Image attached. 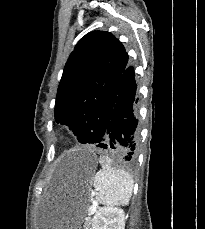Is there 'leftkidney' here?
Listing matches in <instances>:
<instances>
[{
	"label": "left kidney",
	"instance_id": "1",
	"mask_svg": "<svg viewBox=\"0 0 205 229\" xmlns=\"http://www.w3.org/2000/svg\"><path fill=\"white\" fill-rule=\"evenodd\" d=\"M91 229H125L124 211L114 206L98 208Z\"/></svg>",
	"mask_w": 205,
	"mask_h": 229
}]
</instances>
